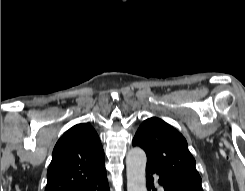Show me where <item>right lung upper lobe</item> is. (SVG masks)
<instances>
[{"instance_id":"1","label":"right lung upper lobe","mask_w":245,"mask_h":191,"mask_svg":"<svg viewBox=\"0 0 245 191\" xmlns=\"http://www.w3.org/2000/svg\"><path fill=\"white\" fill-rule=\"evenodd\" d=\"M106 176L98 134L88 123L73 126L56 143L45 191H72Z\"/></svg>"}]
</instances>
